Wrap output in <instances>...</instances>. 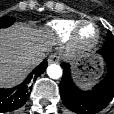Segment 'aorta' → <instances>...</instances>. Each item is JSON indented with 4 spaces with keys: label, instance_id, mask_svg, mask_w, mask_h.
<instances>
[{
    "label": "aorta",
    "instance_id": "aorta-1",
    "mask_svg": "<svg viewBox=\"0 0 114 114\" xmlns=\"http://www.w3.org/2000/svg\"><path fill=\"white\" fill-rule=\"evenodd\" d=\"M47 74L52 79H58L62 76V68L57 64H51L47 68Z\"/></svg>",
    "mask_w": 114,
    "mask_h": 114
}]
</instances>
